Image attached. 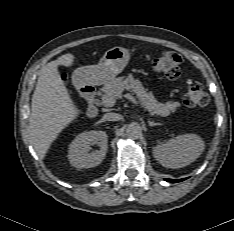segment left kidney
<instances>
[{
	"mask_svg": "<svg viewBox=\"0 0 234 231\" xmlns=\"http://www.w3.org/2000/svg\"><path fill=\"white\" fill-rule=\"evenodd\" d=\"M205 149V143L196 134H184L154 147L155 159L166 168H182L189 165Z\"/></svg>",
	"mask_w": 234,
	"mask_h": 231,
	"instance_id": "1",
	"label": "left kidney"
}]
</instances>
